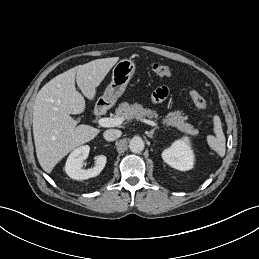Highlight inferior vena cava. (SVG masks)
<instances>
[{"label":"inferior vena cava","mask_w":259,"mask_h":259,"mask_svg":"<svg viewBox=\"0 0 259 259\" xmlns=\"http://www.w3.org/2000/svg\"><path fill=\"white\" fill-rule=\"evenodd\" d=\"M121 136V131L117 129H109L103 133V137L106 141H114Z\"/></svg>","instance_id":"inferior-vena-cava-1"}]
</instances>
